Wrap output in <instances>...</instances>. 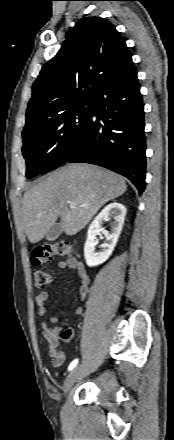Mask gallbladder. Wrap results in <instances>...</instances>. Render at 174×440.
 <instances>
[{"label": "gallbladder", "mask_w": 174, "mask_h": 440, "mask_svg": "<svg viewBox=\"0 0 174 440\" xmlns=\"http://www.w3.org/2000/svg\"><path fill=\"white\" fill-rule=\"evenodd\" d=\"M62 233V228L60 223L53 224L50 229L46 233V239L48 241H54L56 240L59 235Z\"/></svg>", "instance_id": "obj_1"}]
</instances>
